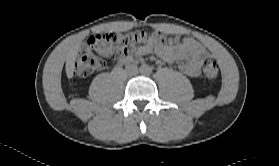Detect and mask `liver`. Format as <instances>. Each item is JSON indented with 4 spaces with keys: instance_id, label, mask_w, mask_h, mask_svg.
I'll use <instances>...</instances> for the list:
<instances>
[{
    "instance_id": "liver-1",
    "label": "liver",
    "mask_w": 279,
    "mask_h": 166,
    "mask_svg": "<svg viewBox=\"0 0 279 166\" xmlns=\"http://www.w3.org/2000/svg\"><path fill=\"white\" fill-rule=\"evenodd\" d=\"M79 46H80V42H78L69 50L66 57L65 69H66V75L69 79L73 77L75 71V60L78 55Z\"/></svg>"
}]
</instances>
